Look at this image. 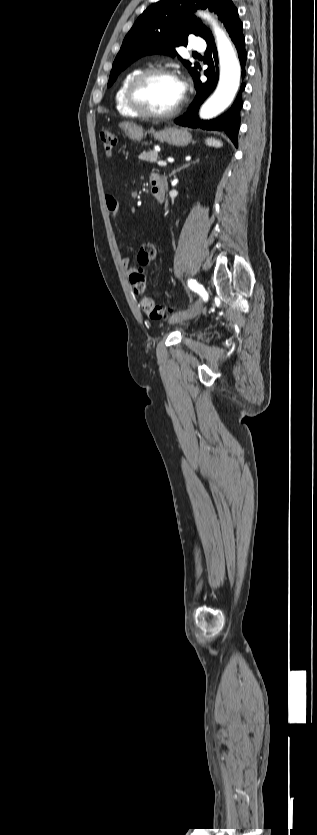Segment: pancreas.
Here are the masks:
<instances>
[{
	"instance_id": "obj_1",
	"label": "pancreas",
	"mask_w": 317,
	"mask_h": 835,
	"mask_svg": "<svg viewBox=\"0 0 317 835\" xmlns=\"http://www.w3.org/2000/svg\"><path fill=\"white\" fill-rule=\"evenodd\" d=\"M159 158L158 152L156 150H150L148 152H143L139 155V159L146 161V162H156Z\"/></svg>"
}]
</instances>
